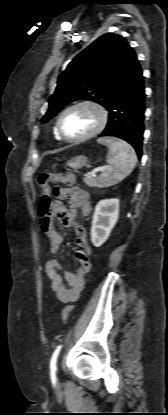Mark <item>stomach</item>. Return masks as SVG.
I'll use <instances>...</instances> for the list:
<instances>
[{"instance_id": "1", "label": "stomach", "mask_w": 168, "mask_h": 415, "mask_svg": "<svg viewBox=\"0 0 168 415\" xmlns=\"http://www.w3.org/2000/svg\"><path fill=\"white\" fill-rule=\"evenodd\" d=\"M87 161H88L87 157L81 155V156H77L71 159L69 161V165L72 166L73 168H82L86 166Z\"/></svg>"}]
</instances>
